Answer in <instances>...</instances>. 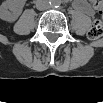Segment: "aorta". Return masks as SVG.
<instances>
[{
	"instance_id": "obj_1",
	"label": "aorta",
	"mask_w": 103,
	"mask_h": 103,
	"mask_svg": "<svg viewBox=\"0 0 103 103\" xmlns=\"http://www.w3.org/2000/svg\"><path fill=\"white\" fill-rule=\"evenodd\" d=\"M59 3L57 1L52 2L53 6H57Z\"/></svg>"
}]
</instances>
